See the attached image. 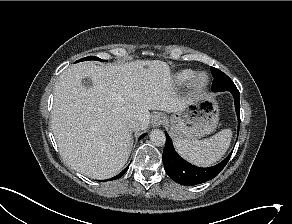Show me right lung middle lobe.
Listing matches in <instances>:
<instances>
[{
    "mask_svg": "<svg viewBox=\"0 0 292 224\" xmlns=\"http://www.w3.org/2000/svg\"><path fill=\"white\" fill-rule=\"evenodd\" d=\"M85 60H99V61H104V60H102V59H100V58H98V57H95V56H89V57H86V58H82V59H80V60H78V61H76V62L85 61Z\"/></svg>",
    "mask_w": 292,
    "mask_h": 224,
    "instance_id": "right-lung-middle-lobe-1",
    "label": "right lung middle lobe"
}]
</instances>
